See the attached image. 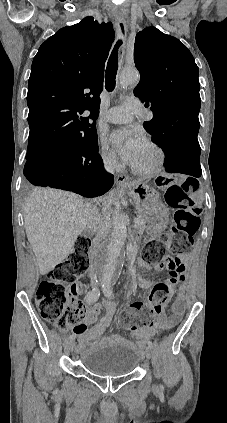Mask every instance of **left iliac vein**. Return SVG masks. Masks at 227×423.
<instances>
[{"instance_id": "1", "label": "left iliac vein", "mask_w": 227, "mask_h": 423, "mask_svg": "<svg viewBox=\"0 0 227 423\" xmlns=\"http://www.w3.org/2000/svg\"><path fill=\"white\" fill-rule=\"evenodd\" d=\"M146 353H147V356H148L149 358H151V357H152V355H153V348H152V347H150V346H147V348H146Z\"/></svg>"}]
</instances>
